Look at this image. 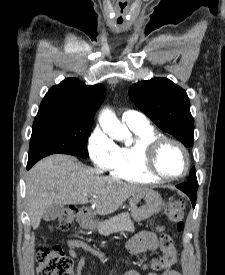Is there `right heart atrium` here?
Masks as SVG:
<instances>
[{
  "label": "right heart atrium",
  "instance_id": "right-heart-atrium-1",
  "mask_svg": "<svg viewBox=\"0 0 225 275\" xmlns=\"http://www.w3.org/2000/svg\"><path fill=\"white\" fill-rule=\"evenodd\" d=\"M88 153L92 163L100 171L108 170L116 154L117 145L101 129L96 128L88 139Z\"/></svg>",
  "mask_w": 225,
  "mask_h": 275
}]
</instances>
